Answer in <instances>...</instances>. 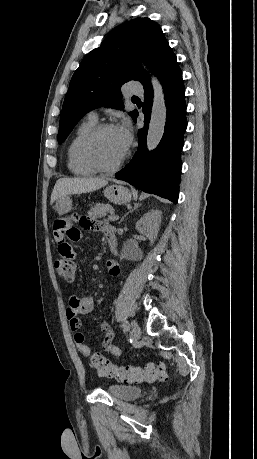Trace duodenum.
Listing matches in <instances>:
<instances>
[{"label": "duodenum", "mask_w": 257, "mask_h": 459, "mask_svg": "<svg viewBox=\"0 0 257 459\" xmlns=\"http://www.w3.org/2000/svg\"><path fill=\"white\" fill-rule=\"evenodd\" d=\"M105 236L107 238L111 251H115L117 247V237L115 235V232L111 230H106Z\"/></svg>", "instance_id": "1"}]
</instances>
